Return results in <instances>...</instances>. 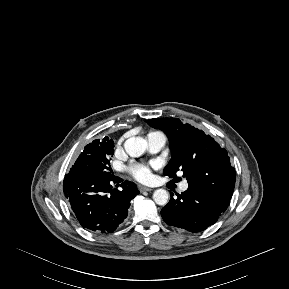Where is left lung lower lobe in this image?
I'll use <instances>...</instances> for the list:
<instances>
[{"label":"left lung lower lobe","instance_id":"0a47b994","mask_svg":"<svg viewBox=\"0 0 289 289\" xmlns=\"http://www.w3.org/2000/svg\"><path fill=\"white\" fill-rule=\"evenodd\" d=\"M228 205L226 199L188 187L176 199L170 198L161 215L170 226L200 232L213 225Z\"/></svg>","mask_w":289,"mask_h":289}]
</instances>
